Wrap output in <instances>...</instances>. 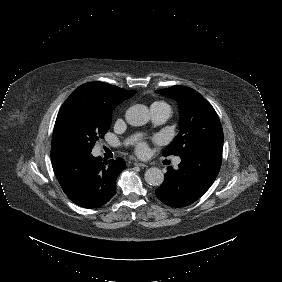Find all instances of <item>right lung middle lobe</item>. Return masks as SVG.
Returning a JSON list of instances; mask_svg holds the SVG:
<instances>
[{
    "label": "right lung middle lobe",
    "mask_w": 282,
    "mask_h": 282,
    "mask_svg": "<svg viewBox=\"0 0 282 282\" xmlns=\"http://www.w3.org/2000/svg\"><path fill=\"white\" fill-rule=\"evenodd\" d=\"M136 93L118 88L94 93H72L62 105L54 126L51 160L91 152L108 131L113 109Z\"/></svg>",
    "instance_id": "dd1d6c3e"
}]
</instances>
